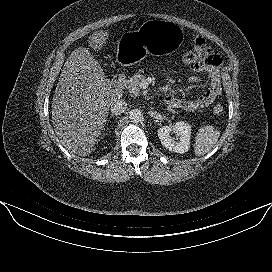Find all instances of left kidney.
I'll use <instances>...</instances> for the list:
<instances>
[{"label":"left kidney","instance_id":"1","mask_svg":"<svg viewBox=\"0 0 272 272\" xmlns=\"http://www.w3.org/2000/svg\"><path fill=\"white\" fill-rule=\"evenodd\" d=\"M191 126L183 121L177 122L174 126H162L158 129V137L161 144L169 151L183 154L189 150ZM174 133L176 137H172Z\"/></svg>","mask_w":272,"mask_h":272}]
</instances>
